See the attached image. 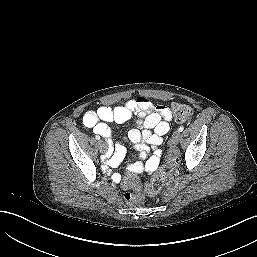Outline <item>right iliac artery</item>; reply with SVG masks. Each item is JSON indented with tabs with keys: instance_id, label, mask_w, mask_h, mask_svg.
<instances>
[{
	"instance_id": "right-iliac-artery-1",
	"label": "right iliac artery",
	"mask_w": 257,
	"mask_h": 257,
	"mask_svg": "<svg viewBox=\"0 0 257 257\" xmlns=\"http://www.w3.org/2000/svg\"><path fill=\"white\" fill-rule=\"evenodd\" d=\"M97 140H100V137L98 135L95 136Z\"/></svg>"
}]
</instances>
